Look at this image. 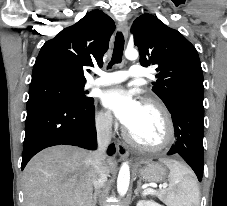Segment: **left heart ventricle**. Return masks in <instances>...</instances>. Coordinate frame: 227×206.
I'll return each instance as SVG.
<instances>
[{
    "label": "left heart ventricle",
    "mask_w": 227,
    "mask_h": 206,
    "mask_svg": "<svg viewBox=\"0 0 227 206\" xmlns=\"http://www.w3.org/2000/svg\"><path fill=\"white\" fill-rule=\"evenodd\" d=\"M130 132L141 143H158L164 135L162 119L155 109L143 105L141 115Z\"/></svg>",
    "instance_id": "1"
}]
</instances>
